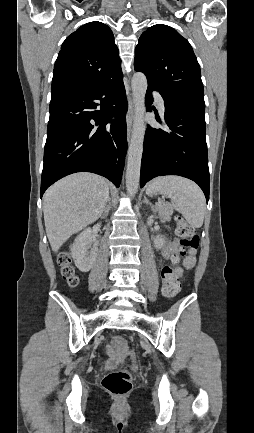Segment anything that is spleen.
Returning a JSON list of instances; mask_svg holds the SVG:
<instances>
[{
    "mask_svg": "<svg viewBox=\"0 0 254 433\" xmlns=\"http://www.w3.org/2000/svg\"><path fill=\"white\" fill-rule=\"evenodd\" d=\"M170 196L173 207L193 228L203 225L206 201L203 192L193 181L179 176H161L148 184L146 193Z\"/></svg>",
    "mask_w": 254,
    "mask_h": 433,
    "instance_id": "3e777b00",
    "label": "spleen"
}]
</instances>
